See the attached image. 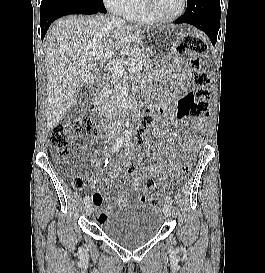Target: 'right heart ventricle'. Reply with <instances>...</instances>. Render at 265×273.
<instances>
[{"label": "right heart ventricle", "instance_id": "1", "mask_svg": "<svg viewBox=\"0 0 265 273\" xmlns=\"http://www.w3.org/2000/svg\"><path fill=\"white\" fill-rule=\"evenodd\" d=\"M124 15L133 21L152 23L142 8L141 0H135L132 7Z\"/></svg>", "mask_w": 265, "mask_h": 273}]
</instances>
